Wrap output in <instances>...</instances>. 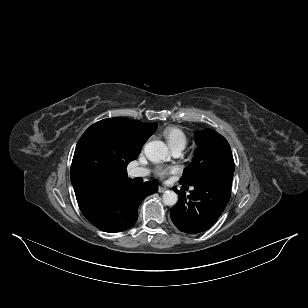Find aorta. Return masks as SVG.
<instances>
[{
	"label": "aorta",
	"instance_id": "aorta-1",
	"mask_svg": "<svg viewBox=\"0 0 308 308\" xmlns=\"http://www.w3.org/2000/svg\"><path fill=\"white\" fill-rule=\"evenodd\" d=\"M144 153L152 162H158L169 157L168 148L162 141L148 142L144 147ZM162 200L165 205L174 206L177 203L178 195L174 191H166Z\"/></svg>",
	"mask_w": 308,
	"mask_h": 308
}]
</instances>
